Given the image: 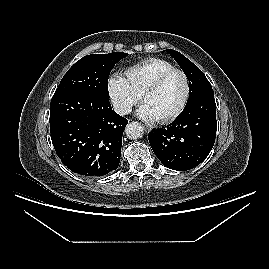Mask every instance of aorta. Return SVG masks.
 I'll return each mask as SVG.
<instances>
[{"label": "aorta", "instance_id": "aorta-1", "mask_svg": "<svg viewBox=\"0 0 269 269\" xmlns=\"http://www.w3.org/2000/svg\"><path fill=\"white\" fill-rule=\"evenodd\" d=\"M125 133L129 139L136 140L143 136L144 129L140 123L131 122L126 126Z\"/></svg>", "mask_w": 269, "mask_h": 269}]
</instances>
